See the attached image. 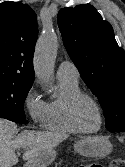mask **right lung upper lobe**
<instances>
[{"label": "right lung upper lobe", "instance_id": "1", "mask_svg": "<svg viewBox=\"0 0 125 167\" xmlns=\"http://www.w3.org/2000/svg\"><path fill=\"white\" fill-rule=\"evenodd\" d=\"M37 16L26 4H0V82L32 86Z\"/></svg>", "mask_w": 125, "mask_h": 167}]
</instances>
